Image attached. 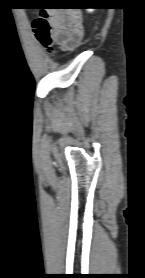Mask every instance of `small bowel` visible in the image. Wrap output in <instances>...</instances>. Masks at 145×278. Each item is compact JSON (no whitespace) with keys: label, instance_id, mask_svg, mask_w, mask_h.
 <instances>
[{"label":"small bowel","instance_id":"obj_1","mask_svg":"<svg viewBox=\"0 0 145 278\" xmlns=\"http://www.w3.org/2000/svg\"><path fill=\"white\" fill-rule=\"evenodd\" d=\"M52 41L64 51L77 47L84 36L80 15L77 12L56 9L51 14Z\"/></svg>","mask_w":145,"mask_h":278}]
</instances>
